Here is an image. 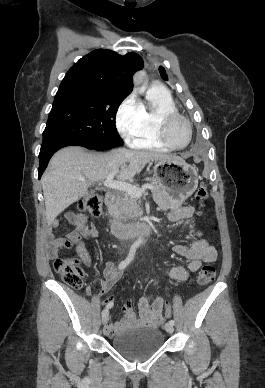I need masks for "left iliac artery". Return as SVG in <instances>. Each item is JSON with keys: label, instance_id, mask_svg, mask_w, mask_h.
Instances as JSON below:
<instances>
[{"label": "left iliac artery", "instance_id": "obj_1", "mask_svg": "<svg viewBox=\"0 0 265 388\" xmlns=\"http://www.w3.org/2000/svg\"><path fill=\"white\" fill-rule=\"evenodd\" d=\"M169 323H170L171 325H174V324H175V321H174V320H170Z\"/></svg>", "mask_w": 265, "mask_h": 388}]
</instances>
